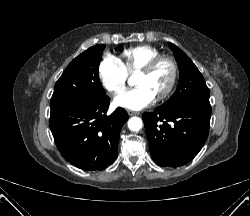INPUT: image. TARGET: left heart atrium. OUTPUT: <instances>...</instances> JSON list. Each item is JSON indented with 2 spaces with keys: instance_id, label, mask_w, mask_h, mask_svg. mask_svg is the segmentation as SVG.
Listing matches in <instances>:
<instances>
[{
  "instance_id": "39dd6f15",
  "label": "left heart atrium",
  "mask_w": 250,
  "mask_h": 216,
  "mask_svg": "<svg viewBox=\"0 0 250 216\" xmlns=\"http://www.w3.org/2000/svg\"><path fill=\"white\" fill-rule=\"evenodd\" d=\"M155 94L145 85H139L133 89L120 93L114 102L117 106L140 110L150 105Z\"/></svg>"
}]
</instances>
